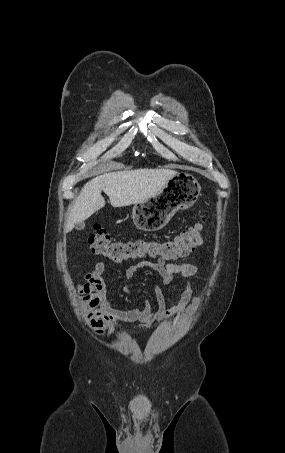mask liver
<instances>
[{"label":"liver","mask_w":285,"mask_h":453,"mask_svg":"<svg viewBox=\"0 0 285 453\" xmlns=\"http://www.w3.org/2000/svg\"><path fill=\"white\" fill-rule=\"evenodd\" d=\"M171 169H137L109 172L87 182L73 205L64 232L105 206L104 191L113 207L142 202L157 194L176 174Z\"/></svg>","instance_id":"obj_1"}]
</instances>
